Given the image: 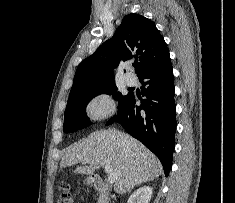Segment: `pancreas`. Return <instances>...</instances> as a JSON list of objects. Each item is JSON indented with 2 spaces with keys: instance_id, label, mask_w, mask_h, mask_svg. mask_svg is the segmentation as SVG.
Here are the masks:
<instances>
[{
  "instance_id": "cf45deb5",
  "label": "pancreas",
  "mask_w": 235,
  "mask_h": 203,
  "mask_svg": "<svg viewBox=\"0 0 235 203\" xmlns=\"http://www.w3.org/2000/svg\"><path fill=\"white\" fill-rule=\"evenodd\" d=\"M98 203H107L106 197L103 194H100Z\"/></svg>"
}]
</instances>
